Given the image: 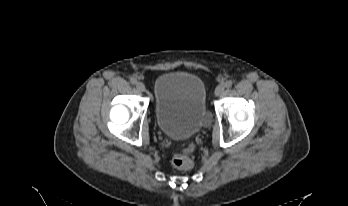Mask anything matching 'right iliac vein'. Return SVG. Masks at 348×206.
I'll use <instances>...</instances> for the list:
<instances>
[{"label": "right iliac vein", "instance_id": "right-iliac-vein-1", "mask_svg": "<svg viewBox=\"0 0 348 206\" xmlns=\"http://www.w3.org/2000/svg\"><path fill=\"white\" fill-rule=\"evenodd\" d=\"M136 89L139 92H144L145 91V85L142 82H138V83H136Z\"/></svg>", "mask_w": 348, "mask_h": 206}]
</instances>
